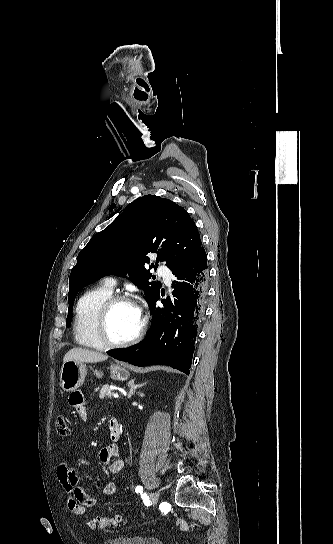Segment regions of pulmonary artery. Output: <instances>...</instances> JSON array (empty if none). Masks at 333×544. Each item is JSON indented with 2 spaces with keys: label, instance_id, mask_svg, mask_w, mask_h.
<instances>
[{
  "label": "pulmonary artery",
  "instance_id": "e3ab8cb5",
  "mask_svg": "<svg viewBox=\"0 0 333 544\" xmlns=\"http://www.w3.org/2000/svg\"><path fill=\"white\" fill-rule=\"evenodd\" d=\"M158 274L164 278L167 284L170 283L172 275L166 266L161 265L158 269ZM103 285L106 286L108 289L113 290L116 285V281L112 277H107L103 280Z\"/></svg>",
  "mask_w": 333,
  "mask_h": 544
}]
</instances>
